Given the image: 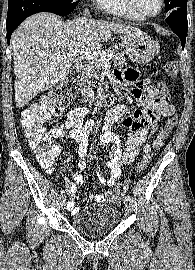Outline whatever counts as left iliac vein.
Listing matches in <instances>:
<instances>
[{
    "label": "left iliac vein",
    "mask_w": 195,
    "mask_h": 270,
    "mask_svg": "<svg viewBox=\"0 0 195 270\" xmlns=\"http://www.w3.org/2000/svg\"><path fill=\"white\" fill-rule=\"evenodd\" d=\"M123 204H124V209H125L126 213L129 214L131 212L130 202L127 199H125Z\"/></svg>",
    "instance_id": "4c4485c4"
}]
</instances>
